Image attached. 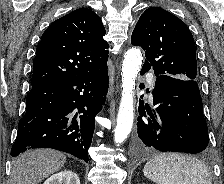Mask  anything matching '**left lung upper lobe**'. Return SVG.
I'll return each instance as SVG.
<instances>
[{
    "label": "left lung upper lobe",
    "instance_id": "1",
    "mask_svg": "<svg viewBox=\"0 0 224 184\" xmlns=\"http://www.w3.org/2000/svg\"><path fill=\"white\" fill-rule=\"evenodd\" d=\"M131 43L145 50L142 69H153L156 76L196 80L193 36L186 24L170 12L160 7L148 8L134 28Z\"/></svg>",
    "mask_w": 224,
    "mask_h": 184
}]
</instances>
